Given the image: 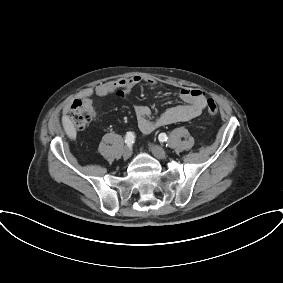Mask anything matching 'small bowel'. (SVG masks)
<instances>
[{
    "label": "small bowel",
    "instance_id": "c3829d8e",
    "mask_svg": "<svg viewBox=\"0 0 283 283\" xmlns=\"http://www.w3.org/2000/svg\"><path fill=\"white\" fill-rule=\"evenodd\" d=\"M142 82L150 86L156 85L154 78L135 75L130 78L103 83L95 88H87L81 92L80 100L92 106V98L94 96L103 97L115 94L120 98L128 99L133 88ZM180 98L185 102L184 104L166 109L155 120L151 119V109L147 105L133 103V109L140 131L147 135L157 128L194 119L200 115L207 104L205 93L199 89H182Z\"/></svg>",
    "mask_w": 283,
    "mask_h": 283
}]
</instances>
